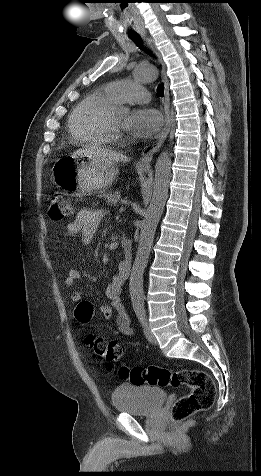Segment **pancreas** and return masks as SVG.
I'll return each mask as SVG.
<instances>
[{"instance_id":"obj_1","label":"pancreas","mask_w":261,"mask_h":476,"mask_svg":"<svg viewBox=\"0 0 261 476\" xmlns=\"http://www.w3.org/2000/svg\"><path fill=\"white\" fill-rule=\"evenodd\" d=\"M103 197L106 199V203L110 206H116L121 199L119 191H116L114 193H104Z\"/></svg>"}]
</instances>
